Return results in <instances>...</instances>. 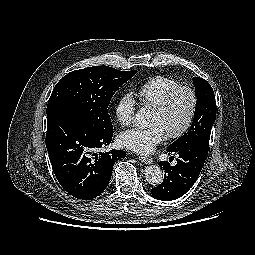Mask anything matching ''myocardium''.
<instances>
[{
	"label": "myocardium",
	"mask_w": 255,
	"mask_h": 255,
	"mask_svg": "<svg viewBox=\"0 0 255 255\" xmlns=\"http://www.w3.org/2000/svg\"><path fill=\"white\" fill-rule=\"evenodd\" d=\"M180 92H187L190 95L191 108L186 121L178 130L172 131V132H166L167 137L170 139L181 138L191 128L198 110V94L196 90L191 86L179 85L173 88L172 90H170L168 93H166L164 97L154 106V109L157 110L158 112L160 113L166 112L171 102L175 98V96Z\"/></svg>",
	"instance_id": "myocardium-1"
}]
</instances>
